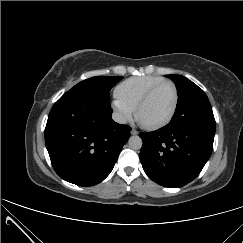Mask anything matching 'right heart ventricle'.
Here are the masks:
<instances>
[{
  "instance_id": "obj_1",
  "label": "right heart ventricle",
  "mask_w": 243,
  "mask_h": 243,
  "mask_svg": "<svg viewBox=\"0 0 243 243\" xmlns=\"http://www.w3.org/2000/svg\"><path fill=\"white\" fill-rule=\"evenodd\" d=\"M163 79L164 77L159 75L131 77L120 83L115 88L114 95L131 111H134L137 103L147 90Z\"/></svg>"
}]
</instances>
